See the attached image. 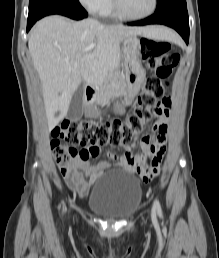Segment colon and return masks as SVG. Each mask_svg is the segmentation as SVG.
Listing matches in <instances>:
<instances>
[{
    "label": "colon",
    "instance_id": "1",
    "mask_svg": "<svg viewBox=\"0 0 219 258\" xmlns=\"http://www.w3.org/2000/svg\"><path fill=\"white\" fill-rule=\"evenodd\" d=\"M142 58L154 75L147 78L131 113L124 120L80 122L65 120L52 130L51 148L61 173L67 176L72 162L78 157L96 156L100 146L128 144L143 133L154 117L157 101L164 98L168 78L179 62V55L171 51L167 42L142 39ZM77 146L87 147L86 151Z\"/></svg>",
    "mask_w": 219,
    "mask_h": 258
}]
</instances>
